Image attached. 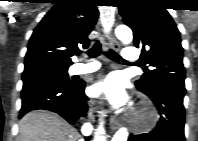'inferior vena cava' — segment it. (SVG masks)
Masks as SVG:
<instances>
[{
	"instance_id": "602c4592",
	"label": "inferior vena cava",
	"mask_w": 198,
	"mask_h": 141,
	"mask_svg": "<svg viewBox=\"0 0 198 141\" xmlns=\"http://www.w3.org/2000/svg\"><path fill=\"white\" fill-rule=\"evenodd\" d=\"M91 129H89L88 133H90Z\"/></svg>"
}]
</instances>
